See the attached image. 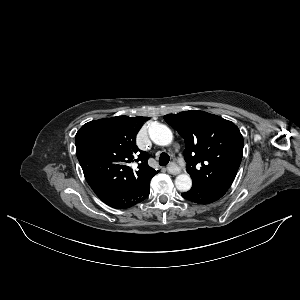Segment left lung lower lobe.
Segmentation results:
<instances>
[{
	"label": "left lung lower lobe",
	"mask_w": 300,
	"mask_h": 300,
	"mask_svg": "<svg viewBox=\"0 0 300 300\" xmlns=\"http://www.w3.org/2000/svg\"><path fill=\"white\" fill-rule=\"evenodd\" d=\"M224 194L225 192L222 191L192 186L189 191L182 193V197L194 203L209 204L217 201Z\"/></svg>",
	"instance_id": "1"
}]
</instances>
